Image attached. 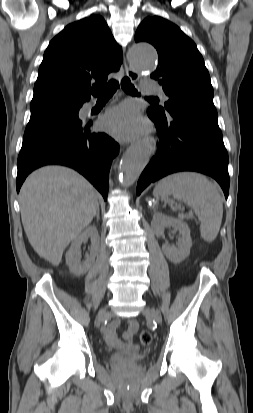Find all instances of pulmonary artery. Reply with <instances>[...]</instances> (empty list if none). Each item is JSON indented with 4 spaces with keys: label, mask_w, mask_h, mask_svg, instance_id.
<instances>
[{
    "label": "pulmonary artery",
    "mask_w": 253,
    "mask_h": 413,
    "mask_svg": "<svg viewBox=\"0 0 253 413\" xmlns=\"http://www.w3.org/2000/svg\"><path fill=\"white\" fill-rule=\"evenodd\" d=\"M142 89L146 93L160 95L164 101L168 100V97L163 93L161 87L157 85L156 83H153V82L144 83L142 85ZM90 107H91V104H88L87 108H90Z\"/></svg>",
    "instance_id": "1"
}]
</instances>
